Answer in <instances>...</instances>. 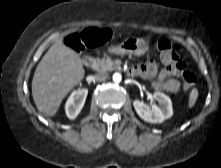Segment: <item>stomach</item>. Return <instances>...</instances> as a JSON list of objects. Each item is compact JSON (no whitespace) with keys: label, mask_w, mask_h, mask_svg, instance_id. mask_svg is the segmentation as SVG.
Wrapping results in <instances>:
<instances>
[{"label":"stomach","mask_w":221,"mask_h":168,"mask_svg":"<svg viewBox=\"0 0 221 168\" xmlns=\"http://www.w3.org/2000/svg\"><path fill=\"white\" fill-rule=\"evenodd\" d=\"M149 50V43L142 38H127L118 45L111 46L109 51L114 54L141 56Z\"/></svg>","instance_id":"obj_1"}]
</instances>
